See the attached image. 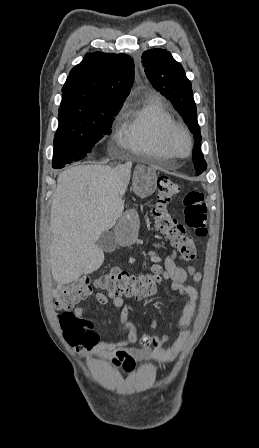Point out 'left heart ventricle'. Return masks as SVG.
Masks as SVG:
<instances>
[{"label": "left heart ventricle", "instance_id": "obj_1", "mask_svg": "<svg viewBox=\"0 0 259 448\" xmlns=\"http://www.w3.org/2000/svg\"><path fill=\"white\" fill-rule=\"evenodd\" d=\"M173 150H148L145 154L156 161H161L162 163H179L185 159L186 155V141L185 138L180 134H175L173 138Z\"/></svg>", "mask_w": 259, "mask_h": 448}]
</instances>
